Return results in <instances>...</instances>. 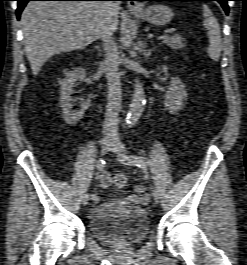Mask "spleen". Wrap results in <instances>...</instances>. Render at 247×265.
<instances>
[{
  "label": "spleen",
  "instance_id": "3e777b00",
  "mask_svg": "<svg viewBox=\"0 0 247 265\" xmlns=\"http://www.w3.org/2000/svg\"><path fill=\"white\" fill-rule=\"evenodd\" d=\"M203 17V25L207 30V35L209 38L207 53L212 60L218 61L222 49L220 26L209 7L205 4L203 5Z\"/></svg>",
  "mask_w": 247,
  "mask_h": 265
}]
</instances>
